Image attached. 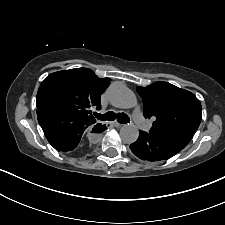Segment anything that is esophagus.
<instances>
[{
    "label": "esophagus",
    "mask_w": 225,
    "mask_h": 225,
    "mask_svg": "<svg viewBox=\"0 0 225 225\" xmlns=\"http://www.w3.org/2000/svg\"><path fill=\"white\" fill-rule=\"evenodd\" d=\"M109 125L114 126V127H121L122 124L118 123V122H111L109 123Z\"/></svg>",
    "instance_id": "esophagus-1"
}]
</instances>
